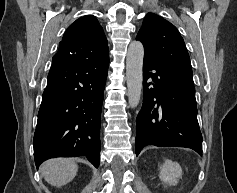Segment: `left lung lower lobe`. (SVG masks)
<instances>
[{"label":"left lung lower lobe","instance_id":"1","mask_svg":"<svg viewBox=\"0 0 237 193\" xmlns=\"http://www.w3.org/2000/svg\"><path fill=\"white\" fill-rule=\"evenodd\" d=\"M146 145L187 147L202 155L193 77L144 56L136 155Z\"/></svg>","mask_w":237,"mask_h":193}]
</instances>
